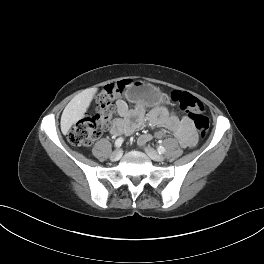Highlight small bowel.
<instances>
[{"label":"small bowel","mask_w":264,"mask_h":264,"mask_svg":"<svg viewBox=\"0 0 264 264\" xmlns=\"http://www.w3.org/2000/svg\"><path fill=\"white\" fill-rule=\"evenodd\" d=\"M116 107L119 117L113 121L110 127L111 133L115 135L131 134L136 129L144 126L147 120L150 125L173 133L183 148L193 147L197 142V133L187 116L179 118L170 114L164 107H156L146 117L143 105L137 104L134 108H129L123 99L116 101ZM164 135V130H159L155 134H143L139 137L138 144L143 146L152 140L153 137L161 138Z\"/></svg>","instance_id":"1"}]
</instances>
